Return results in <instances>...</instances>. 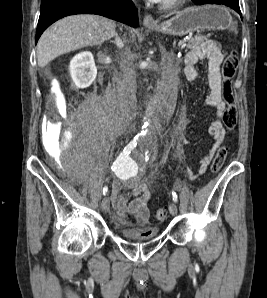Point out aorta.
<instances>
[{
  "label": "aorta",
  "mask_w": 267,
  "mask_h": 298,
  "mask_svg": "<svg viewBox=\"0 0 267 298\" xmlns=\"http://www.w3.org/2000/svg\"><path fill=\"white\" fill-rule=\"evenodd\" d=\"M148 125H149V122L148 121H145L144 122V125L142 127V130H143L142 132H144V130L147 129Z\"/></svg>",
  "instance_id": "762f6f07"
}]
</instances>
